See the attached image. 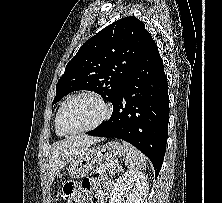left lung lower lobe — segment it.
<instances>
[{
    "label": "left lung lower lobe",
    "mask_w": 222,
    "mask_h": 203,
    "mask_svg": "<svg viewBox=\"0 0 222 203\" xmlns=\"http://www.w3.org/2000/svg\"><path fill=\"white\" fill-rule=\"evenodd\" d=\"M112 104L109 121L86 134L134 145L150 159L157 177L168 137L169 96L163 61L152 37Z\"/></svg>",
    "instance_id": "0a47b994"
}]
</instances>
